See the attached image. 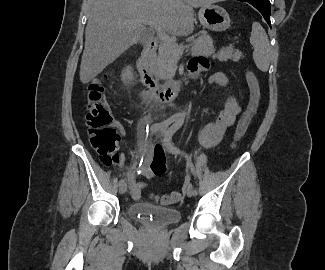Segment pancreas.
I'll return each instance as SVG.
<instances>
[{"instance_id": "obj_1", "label": "pancreas", "mask_w": 325, "mask_h": 270, "mask_svg": "<svg viewBox=\"0 0 325 270\" xmlns=\"http://www.w3.org/2000/svg\"><path fill=\"white\" fill-rule=\"evenodd\" d=\"M192 55H204L211 56L219 59V61H239L243 54L239 50H235L233 46L223 47L217 54H215V48L212 38L209 35L202 34L197 39H192L191 44ZM183 44L178 47L161 43L158 51V57L156 59L155 70L159 78L168 81L175 75L177 69V61L182 51H179Z\"/></svg>"}]
</instances>
